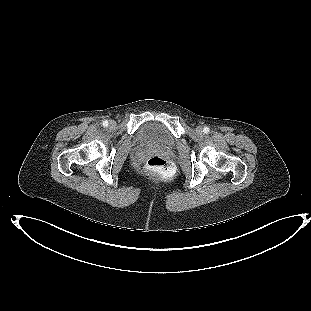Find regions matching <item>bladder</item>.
Listing matches in <instances>:
<instances>
[{
    "instance_id": "obj_1",
    "label": "bladder",
    "mask_w": 311,
    "mask_h": 311,
    "mask_svg": "<svg viewBox=\"0 0 311 311\" xmlns=\"http://www.w3.org/2000/svg\"><path fill=\"white\" fill-rule=\"evenodd\" d=\"M138 139L147 145L163 148H170L175 144V138L170 129L157 121L144 124L138 132Z\"/></svg>"
}]
</instances>
